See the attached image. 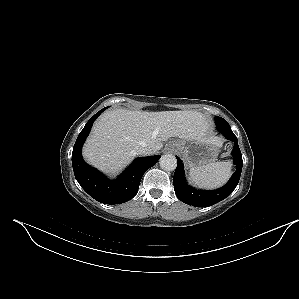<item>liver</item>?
Returning <instances> with one entry per match:
<instances>
[{
	"mask_svg": "<svg viewBox=\"0 0 299 299\" xmlns=\"http://www.w3.org/2000/svg\"><path fill=\"white\" fill-rule=\"evenodd\" d=\"M204 114L196 111L144 112L115 109L95 122L83 148V157L94 167L115 173L148 147L158 152L171 137L201 139L208 130Z\"/></svg>",
	"mask_w": 299,
	"mask_h": 299,
	"instance_id": "6515ba94",
	"label": "liver"
}]
</instances>
